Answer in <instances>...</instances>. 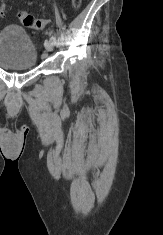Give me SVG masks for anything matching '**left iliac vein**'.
<instances>
[{"label": "left iliac vein", "mask_w": 163, "mask_h": 235, "mask_svg": "<svg viewBox=\"0 0 163 235\" xmlns=\"http://www.w3.org/2000/svg\"><path fill=\"white\" fill-rule=\"evenodd\" d=\"M44 45H45L46 50L48 52H51V51H53V48H54V40L51 39V38L50 39H46ZM44 56L46 57L47 54L45 53Z\"/></svg>", "instance_id": "1"}]
</instances>
